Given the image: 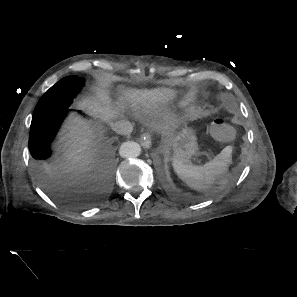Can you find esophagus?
<instances>
[{
	"label": "esophagus",
	"mask_w": 297,
	"mask_h": 297,
	"mask_svg": "<svg viewBox=\"0 0 297 297\" xmlns=\"http://www.w3.org/2000/svg\"><path fill=\"white\" fill-rule=\"evenodd\" d=\"M140 143L146 149H149L151 147L152 138H151V133L149 131H145L144 133L141 134Z\"/></svg>",
	"instance_id": "obj_1"
}]
</instances>
